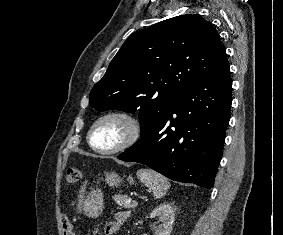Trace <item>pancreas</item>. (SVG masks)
<instances>
[{
  "label": "pancreas",
  "mask_w": 283,
  "mask_h": 235,
  "mask_svg": "<svg viewBox=\"0 0 283 235\" xmlns=\"http://www.w3.org/2000/svg\"><path fill=\"white\" fill-rule=\"evenodd\" d=\"M114 200L117 205L122 206L124 208L133 209L136 206V203L129 202V197L127 195H115Z\"/></svg>",
  "instance_id": "cf45deb5"
}]
</instances>
